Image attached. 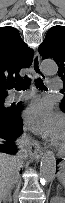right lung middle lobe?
Returning <instances> with one entry per match:
<instances>
[{"mask_svg":"<svg viewBox=\"0 0 65 203\" xmlns=\"http://www.w3.org/2000/svg\"><path fill=\"white\" fill-rule=\"evenodd\" d=\"M6 96H0V112H9L11 108L4 107V100Z\"/></svg>","mask_w":65,"mask_h":203,"instance_id":"obj_1","label":"right lung middle lobe"}]
</instances>
